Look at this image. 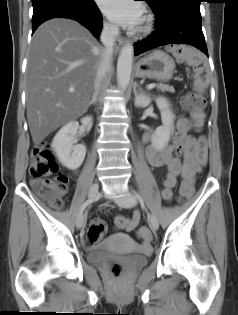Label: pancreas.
Here are the masks:
<instances>
[{
	"mask_svg": "<svg viewBox=\"0 0 238 315\" xmlns=\"http://www.w3.org/2000/svg\"><path fill=\"white\" fill-rule=\"evenodd\" d=\"M157 88L161 91H169V92H175L174 88L172 86L166 85V84H158Z\"/></svg>",
	"mask_w": 238,
	"mask_h": 315,
	"instance_id": "pancreas-1",
	"label": "pancreas"
}]
</instances>
